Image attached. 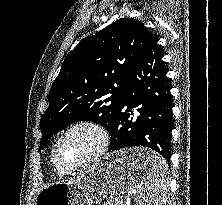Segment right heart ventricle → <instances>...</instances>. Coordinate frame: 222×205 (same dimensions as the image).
<instances>
[{
	"mask_svg": "<svg viewBox=\"0 0 222 205\" xmlns=\"http://www.w3.org/2000/svg\"><path fill=\"white\" fill-rule=\"evenodd\" d=\"M57 173H58L59 175L63 174V173H61L59 170H57Z\"/></svg>",
	"mask_w": 222,
	"mask_h": 205,
	"instance_id": "right-heart-ventricle-1",
	"label": "right heart ventricle"
}]
</instances>
